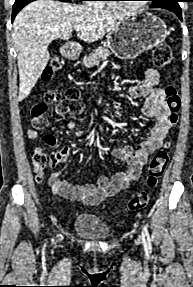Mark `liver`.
Returning <instances> with one entry per match:
<instances>
[{
	"mask_svg": "<svg viewBox=\"0 0 193 287\" xmlns=\"http://www.w3.org/2000/svg\"><path fill=\"white\" fill-rule=\"evenodd\" d=\"M130 12H117L53 0H37L25 6L13 22L12 38L19 69L18 100L23 101L40 78L50 58L48 45L68 40L76 26L85 42H95L115 29Z\"/></svg>",
	"mask_w": 193,
	"mask_h": 287,
	"instance_id": "liver-1",
	"label": "liver"
}]
</instances>
